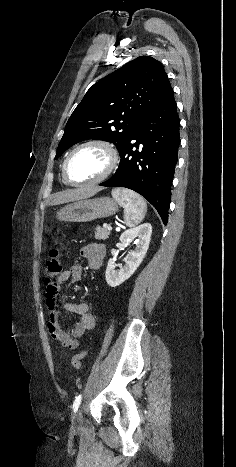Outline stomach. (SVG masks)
Instances as JSON below:
<instances>
[{
  "label": "stomach",
  "instance_id": "stomach-1",
  "mask_svg": "<svg viewBox=\"0 0 236 467\" xmlns=\"http://www.w3.org/2000/svg\"><path fill=\"white\" fill-rule=\"evenodd\" d=\"M118 211L117 202L110 197L78 200L57 212V219L65 222H89L112 216Z\"/></svg>",
  "mask_w": 236,
  "mask_h": 467
}]
</instances>
